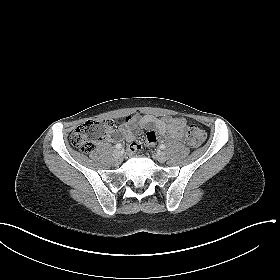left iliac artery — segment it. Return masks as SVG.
Segmentation results:
<instances>
[{"instance_id": "left-iliac-artery-1", "label": "left iliac artery", "mask_w": 280, "mask_h": 280, "mask_svg": "<svg viewBox=\"0 0 280 280\" xmlns=\"http://www.w3.org/2000/svg\"><path fill=\"white\" fill-rule=\"evenodd\" d=\"M165 147H166V146H165L164 144H161V145L159 146V148L162 149V150L165 149Z\"/></svg>"}]
</instances>
